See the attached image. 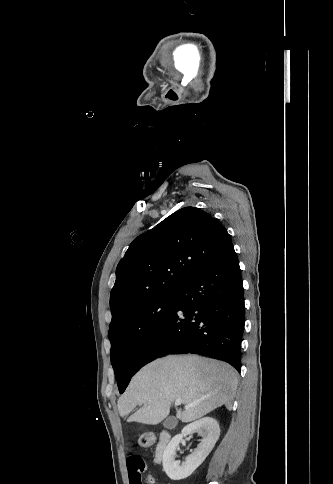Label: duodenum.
I'll return each instance as SVG.
<instances>
[{"label":"duodenum","mask_w":333,"mask_h":484,"mask_svg":"<svg viewBox=\"0 0 333 484\" xmlns=\"http://www.w3.org/2000/svg\"><path fill=\"white\" fill-rule=\"evenodd\" d=\"M169 438H170V436L166 432L161 434L160 442L157 446V451H156V455H157L158 458H161L163 456V453H164L166 444L169 441Z\"/></svg>","instance_id":"duodenum-1"}]
</instances>
